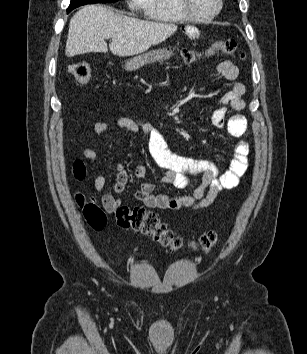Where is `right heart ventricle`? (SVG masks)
<instances>
[{"mask_svg":"<svg viewBox=\"0 0 307 354\" xmlns=\"http://www.w3.org/2000/svg\"><path fill=\"white\" fill-rule=\"evenodd\" d=\"M142 9L148 19L157 22L177 23L187 20L179 11L177 0H145Z\"/></svg>","mask_w":307,"mask_h":354,"instance_id":"e07e8e85","label":"right heart ventricle"}]
</instances>
